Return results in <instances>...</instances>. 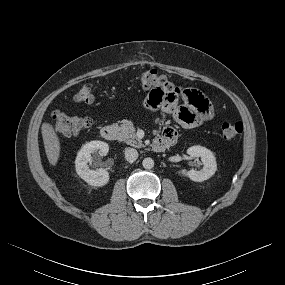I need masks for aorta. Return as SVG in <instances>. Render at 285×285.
<instances>
[{
    "instance_id": "aorta-1",
    "label": "aorta",
    "mask_w": 285,
    "mask_h": 285,
    "mask_svg": "<svg viewBox=\"0 0 285 285\" xmlns=\"http://www.w3.org/2000/svg\"><path fill=\"white\" fill-rule=\"evenodd\" d=\"M142 165L145 169H152L154 167V161L152 158L147 157L143 159Z\"/></svg>"
}]
</instances>
